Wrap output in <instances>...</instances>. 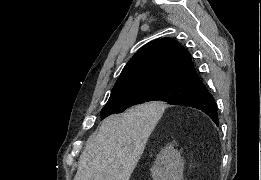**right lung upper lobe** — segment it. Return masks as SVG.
<instances>
[{
    "label": "right lung upper lobe",
    "mask_w": 261,
    "mask_h": 180,
    "mask_svg": "<svg viewBox=\"0 0 261 180\" xmlns=\"http://www.w3.org/2000/svg\"><path fill=\"white\" fill-rule=\"evenodd\" d=\"M164 80L202 84L190 53L171 38L157 39L141 47L123 68L113 90Z\"/></svg>",
    "instance_id": "1"
}]
</instances>
